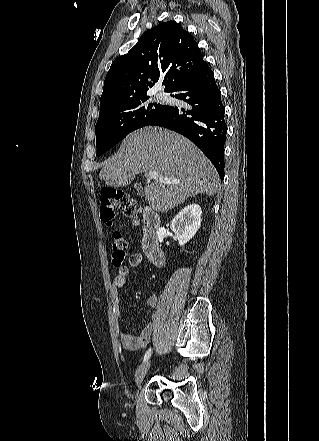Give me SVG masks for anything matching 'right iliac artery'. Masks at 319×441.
<instances>
[{
    "label": "right iliac artery",
    "instance_id": "1",
    "mask_svg": "<svg viewBox=\"0 0 319 441\" xmlns=\"http://www.w3.org/2000/svg\"><path fill=\"white\" fill-rule=\"evenodd\" d=\"M151 353H152V349L149 348V349L147 350V352L145 353V355H144L143 362H146V361L150 358Z\"/></svg>",
    "mask_w": 319,
    "mask_h": 441
}]
</instances>
